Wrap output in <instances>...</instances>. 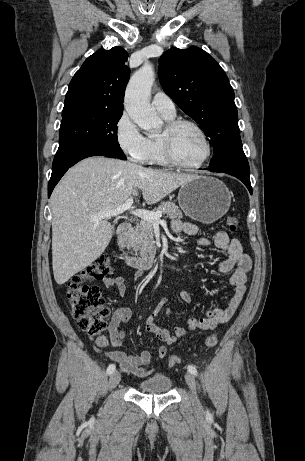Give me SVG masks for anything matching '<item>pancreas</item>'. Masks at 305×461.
Returning a JSON list of instances; mask_svg holds the SVG:
<instances>
[{
	"mask_svg": "<svg viewBox=\"0 0 305 461\" xmlns=\"http://www.w3.org/2000/svg\"><path fill=\"white\" fill-rule=\"evenodd\" d=\"M161 211L171 219H181L182 211L174 202H162L153 212ZM155 241L153 237V225L151 222L141 220L131 231L129 238L125 241V247L131 250L135 255L141 256L152 255L155 252Z\"/></svg>",
	"mask_w": 305,
	"mask_h": 461,
	"instance_id": "pancreas-1",
	"label": "pancreas"
}]
</instances>
